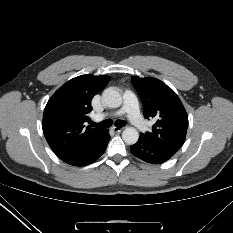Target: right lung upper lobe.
Returning <instances> with one entry per match:
<instances>
[{
    "label": "right lung upper lobe",
    "mask_w": 233,
    "mask_h": 233,
    "mask_svg": "<svg viewBox=\"0 0 233 233\" xmlns=\"http://www.w3.org/2000/svg\"><path fill=\"white\" fill-rule=\"evenodd\" d=\"M108 76L81 75L61 86L49 99L42 128L53 152L64 162L88 149L106 129L84 126L91 100L109 82Z\"/></svg>",
    "instance_id": "cb5924a9"
}]
</instances>
